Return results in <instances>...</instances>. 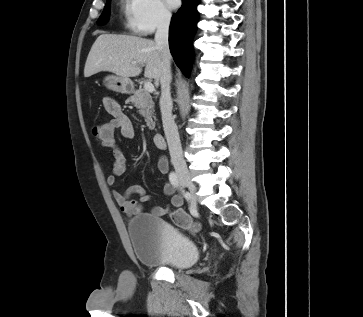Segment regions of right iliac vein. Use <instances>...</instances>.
Instances as JSON below:
<instances>
[{"instance_id": "1", "label": "right iliac vein", "mask_w": 363, "mask_h": 317, "mask_svg": "<svg viewBox=\"0 0 363 317\" xmlns=\"http://www.w3.org/2000/svg\"><path fill=\"white\" fill-rule=\"evenodd\" d=\"M179 180L180 182L185 185L192 197V201L194 203V205L196 206V186L194 184V182L192 181L191 177L188 174H179Z\"/></svg>"}]
</instances>
